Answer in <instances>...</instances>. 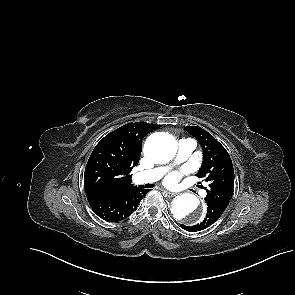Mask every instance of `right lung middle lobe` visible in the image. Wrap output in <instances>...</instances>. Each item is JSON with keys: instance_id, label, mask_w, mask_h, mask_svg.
Instances as JSON below:
<instances>
[{"instance_id": "1", "label": "right lung middle lobe", "mask_w": 295, "mask_h": 295, "mask_svg": "<svg viewBox=\"0 0 295 295\" xmlns=\"http://www.w3.org/2000/svg\"><path fill=\"white\" fill-rule=\"evenodd\" d=\"M121 174L120 165L103 153H92L85 168L86 193L108 192L117 183Z\"/></svg>"}]
</instances>
